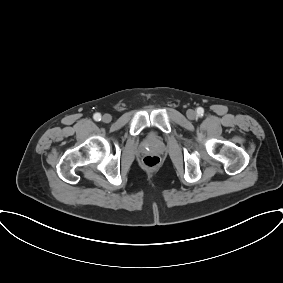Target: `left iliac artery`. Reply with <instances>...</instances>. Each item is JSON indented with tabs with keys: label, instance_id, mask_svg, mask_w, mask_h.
<instances>
[{
	"label": "left iliac artery",
	"instance_id": "44dca946",
	"mask_svg": "<svg viewBox=\"0 0 283 283\" xmlns=\"http://www.w3.org/2000/svg\"><path fill=\"white\" fill-rule=\"evenodd\" d=\"M203 113H204V109L202 107L197 108L198 116H200V117L203 116Z\"/></svg>",
	"mask_w": 283,
	"mask_h": 283
}]
</instances>
